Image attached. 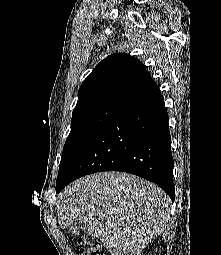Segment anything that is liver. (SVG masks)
<instances>
[{
	"instance_id": "6515ba94",
	"label": "liver",
	"mask_w": 221,
	"mask_h": 255,
	"mask_svg": "<svg viewBox=\"0 0 221 255\" xmlns=\"http://www.w3.org/2000/svg\"><path fill=\"white\" fill-rule=\"evenodd\" d=\"M168 195L155 184L123 172L85 176L67 186L56 203L58 222L99 239L111 255H142L170 214Z\"/></svg>"
}]
</instances>
